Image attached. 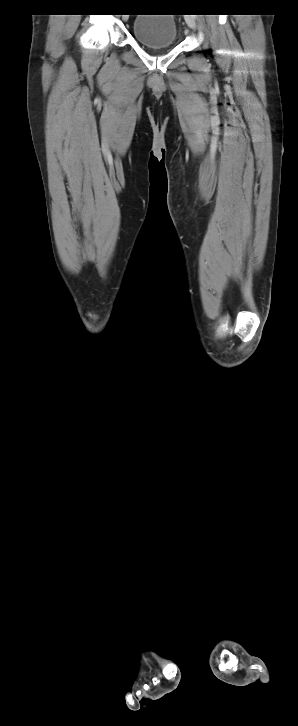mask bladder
Returning a JSON list of instances; mask_svg holds the SVG:
<instances>
[{
	"label": "bladder",
	"mask_w": 298,
	"mask_h": 726,
	"mask_svg": "<svg viewBox=\"0 0 298 726\" xmlns=\"http://www.w3.org/2000/svg\"><path fill=\"white\" fill-rule=\"evenodd\" d=\"M132 32L134 38L147 48L165 49L177 43V24L171 14H138L133 20Z\"/></svg>",
	"instance_id": "1"
}]
</instances>
